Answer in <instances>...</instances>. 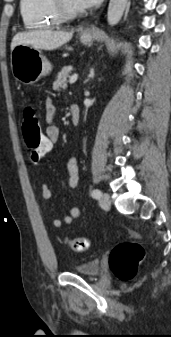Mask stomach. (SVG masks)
<instances>
[{
  "label": "stomach",
  "mask_w": 171,
  "mask_h": 337,
  "mask_svg": "<svg viewBox=\"0 0 171 337\" xmlns=\"http://www.w3.org/2000/svg\"><path fill=\"white\" fill-rule=\"evenodd\" d=\"M85 45H91V35H81ZM11 69L14 78L23 84H33L52 71L49 60L39 49L30 45H17L11 52Z\"/></svg>",
  "instance_id": "obj_1"
}]
</instances>
